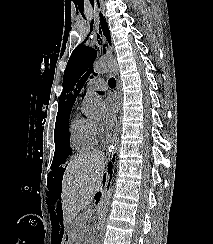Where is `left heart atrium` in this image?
Wrapping results in <instances>:
<instances>
[{"mask_svg":"<svg viewBox=\"0 0 213 244\" xmlns=\"http://www.w3.org/2000/svg\"><path fill=\"white\" fill-rule=\"evenodd\" d=\"M104 126L112 128L116 122L117 116V101L115 98L109 96L104 100Z\"/></svg>","mask_w":213,"mask_h":244,"instance_id":"39dd6f15","label":"left heart atrium"}]
</instances>
